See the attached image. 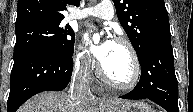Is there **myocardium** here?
I'll use <instances>...</instances> for the list:
<instances>
[{"label":"myocardium","mask_w":193,"mask_h":112,"mask_svg":"<svg viewBox=\"0 0 193 112\" xmlns=\"http://www.w3.org/2000/svg\"><path fill=\"white\" fill-rule=\"evenodd\" d=\"M114 42L124 45L130 53L132 64H133V72H132V76L130 80L126 83H118V82L113 81L112 79H110L107 76V74L104 72L101 65L98 67V73L100 77L102 78V80L105 83H107L109 86L115 89H118V90H131L138 84L140 77H141V64H140V60H139L137 51L135 47L133 46V44L129 40L123 37L115 38Z\"/></svg>","instance_id":"myocardium-1"}]
</instances>
